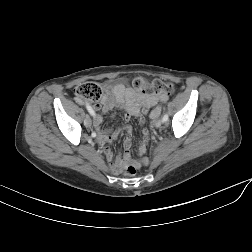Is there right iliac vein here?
<instances>
[{
    "instance_id": "63e3f726",
    "label": "right iliac vein",
    "mask_w": 252,
    "mask_h": 252,
    "mask_svg": "<svg viewBox=\"0 0 252 252\" xmlns=\"http://www.w3.org/2000/svg\"><path fill=\"white\" fill-rule=\"evenodd\" d=\"M84 125L87 127V128H90L92 126V120L90 119V117H87L84 121Z\"/></svg>"
}]
</instances>
